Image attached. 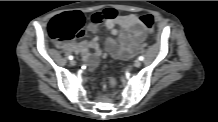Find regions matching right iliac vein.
I'll list each match as a JSON object with an SVG mask.
<instances>
[{"instance_id": "1", "label": "right iliac vein", "mask_w": 218, "mask_h": 122, "mask_svg": "<svg viewBox=\"0 0 218 122\" xmlns=\"http://www.w3.org/2000/svg\"><path fill=\"white\" fill-rule=\"evenodd\" d=\"M70 64H71L72 66H75V65H76V61H75V60H71V61H70Z\"/></svg>"}]
</instances>
